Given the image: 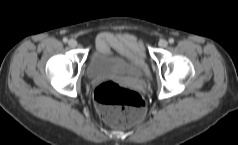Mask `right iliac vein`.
Returning a JSON list of instances; mask_svg holds the SVG:
<instances>
[{"label": "right iliac vein", "instance_id": "right-iliac-vein-1", "mask_svg": "<svg viewBox=\"0 0 238 145\" xmlns=\"http://www.w3.org/2000/svg\"><path fill=\"white\" fill-rule=\"evenodd\" d=\"M68 44H69L70 47L74 48V47L77 46V41L75 39H70L68 41Z\"/></svg>", "mask_w": 238, "mask_h": 145}]
</instances>
